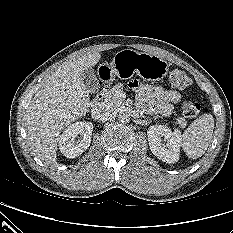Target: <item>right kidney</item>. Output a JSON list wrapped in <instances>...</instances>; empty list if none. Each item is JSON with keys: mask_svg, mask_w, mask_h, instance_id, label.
<instances>
[{"mask_svg": "<svg viewBox=\"0 0 233 233\" xmlns=\"http://www.w3.org/2000/svg\"><path fill=\"white\" fill-rule=\"evenodd\" d=\"M93 124L76 122L68 126L59 137V149L67 158H75L88 149L91 143Z\"/></svg>", "mask_w": 233, "mask_h": 233, "instance_id": "right-kidney-1", "label": "right kidney"}]
</instances>
